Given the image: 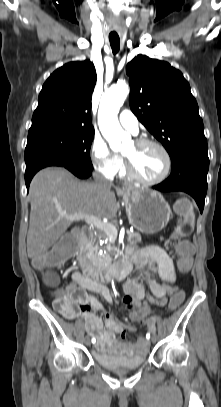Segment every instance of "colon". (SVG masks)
Segmentation results:
<instances>
[{"mask_svg": "<svg viewBox=\"0 0 221 407\" xmlns=\"http://www.w3.org/2000/svg\"><path fill=\"white\" fill-rule=\"evenodd\" d=\"M176 212L181 216L182 220L176 228L173 235L174 240H179L176 245V251L179 255L178 268L182 273L189 272L192 265L193 251L195 243L191 239H182L191 235L194 228V210L191 202L187 198H180L175 204ZM81 227H76L75 230H68L67 234H62L61 240H57L56 246H52V252H42V256L35 259V270L40 272L42 268L54 266L55 268L62 267V261H71L72 255H77L78 249L75 244L82 237ZM54 295V308L65 315L70 312L73 305L78 301V296L69 289H56ZM187 296L186 289H175L171 292L169 298V306L164 310L166 312L177 313L181 304H185ZM152 310L157 309L150 305H133L128 310V317L133 318L136 322H150ZM146 319V320H145Z\"/></svg>", "mask_w": 221, "mask_h": 407, "instance_id": "colon-1", "label": "colon"}]
</instances>
